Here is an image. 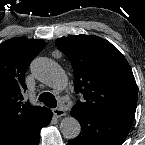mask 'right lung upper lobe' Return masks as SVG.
<instances>
[{"label": "right lung upper lobe", "instance_id": "right-lung-upper-lobe-1", "mask_svg": "<svg viewBox=\"0 0 145 145\" xmlns=\"http://www.w3.org/2000/svg\"><path fill=\"white\" fill-rule=\"evenodd\" d=\"M44 45L43 40L22 37L0 44V138L47 110L22 102L25 71Z\"/></svg>", "mask_w": 145, "mask_h": 145}]
</instances>
